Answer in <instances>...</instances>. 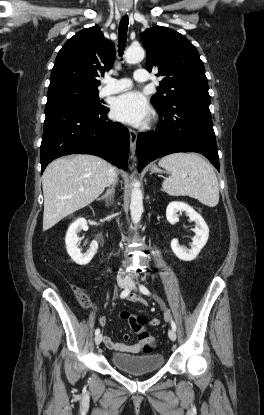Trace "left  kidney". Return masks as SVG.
<instances>
[{"mask_svg":"<svg viewBox=\"0 0 264 415\" xmlns=\"http://www.w3.org/2000/svg\"><path fill=\"white\" fill-rule=\"evenodd\" d=\"M182 212H185L190 220L196 223V226L193 229L195 236L192 238L191 249L180 246L177 239L171 241V248L173 253L180 260L192 261L205 246L209 236V228L200 214L188 204L180 201H172L168 204L166 209V218L168 222L174 225L179 220L178 213Z\"/></svg>","mask_w":264,"mask_h":415,"instance_id":"5707ae66","label":"left kidney"}]
</instances>
